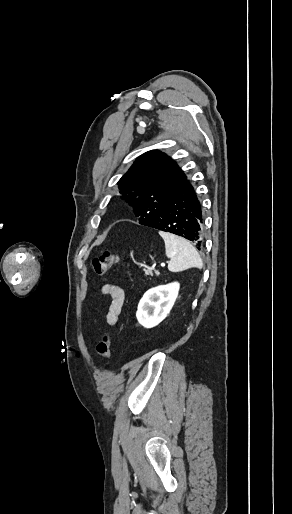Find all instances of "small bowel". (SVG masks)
<instances>
[{
    "mask_svg": "<svg viewBox=\"0 0 292 514\" xmlns=\"http://www.w3.org/2000/svg\"><path fill=\"white\" fill-rule=\"evenodd\" d=\"M101 292L110 297L106 313V322L109 326H115L119 320L125 302V291L118 285L105 284Z\"/></svg>",
    "mask_w": 292,
    "mask_h": 514,
    "instance_id": "c3829d8e",
    "label": "small bowel"
}]
</instances>
